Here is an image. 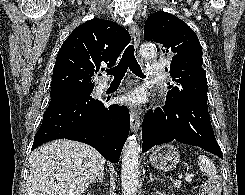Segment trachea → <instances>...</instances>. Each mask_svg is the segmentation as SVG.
I'll return each instance as SVG.
<instances>
[{"mask_svg": "<svg viewBox=\"0 0 245 195\" xmlns=\"http://www.w3.org/2000/svg\"><path fill=\"white\" fill-rule=\"evenodd\" d=\"M128 68L138 77L145 78V75L142 73L141 67L135 58L133 45H129L126 48L119 64L106 70V73L107 75L113 76L114 81H121Z\"/></svg>", "mask_w": 245, "mask_h": 195, "instance_id": "trachea-1", "label": "trachea"}]
</instances>
